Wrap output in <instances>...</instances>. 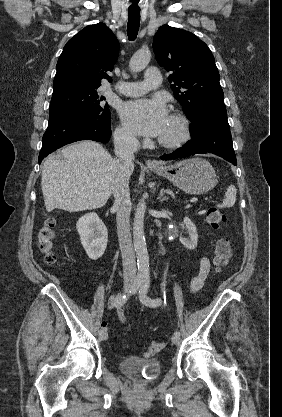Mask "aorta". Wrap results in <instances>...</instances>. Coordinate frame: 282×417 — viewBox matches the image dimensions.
I'll use <instances>...</instances> for the list:
<instances>
[{
    "mask_svg": "<svg viewBox=\"0 0 282 417\" xmlns=\"http://www.w3.org/2000/svg\"><path fill=\"white\" fill-rule=\"evenodd\" d=\"M151 58L149 48H140L130 58L129 66L132 72H140L147 66ZM146 211L145 196L138 202L133 221V245L137 259V277L138 279H150V263L147 251L144 217Z\"/></svg>",
    "mask_w": 282,
    "mask_h": 417,
    "instance_id": "aorta-1",
    "label": "aorta"
}]
</instances>
